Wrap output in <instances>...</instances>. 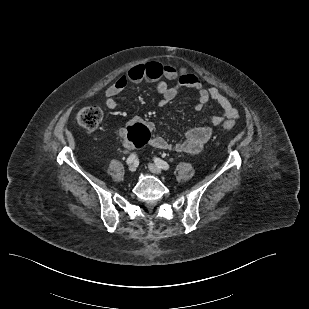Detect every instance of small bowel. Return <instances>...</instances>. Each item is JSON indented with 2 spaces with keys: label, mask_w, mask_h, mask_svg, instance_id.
Segmentation results:
<instances>
[{
  "label": "small bowel",
  "mask_w": 309,
  "mask_h": 309,
  "mask_svg": "<svg viewBox=\"0 0 309 309\" xmlns=\"http://www.w3.org/2000/svg\"><path fill=\"white\" fill-rule=\"evenodd\" d=\"M164 79L176 80V84L171 86ZM142 81L155 84L156 91L162 97V104H166L175 99L183 89H189L196 95L197 110H201L210 100L218 103L223 109L222 114L212 116L208 124L190 128L185 133L184 140L177 144H170L161 136L150 135L148 144L156 149L197 154L211 139L214 127L221 125L226 120L234 122L239 116L238 110L234 107L230 99L216 87L205 88L196 75L188 74L185 77H180L172 67L162 66L157 62L133 66L127 70L123 76L108 86L105 90L106 107L111 110L115 109L117 107L115 97L120 94L129 83H139ZM137 123L145 125L149 131L153 130V125L151 123L144 122L139 118L131 119L128 125L120 130L123 145L128 150L134 149V146L128 139L127 128Z\"/></svg>",
  "instance_id": "c3829d8e"
}]
</instances>
